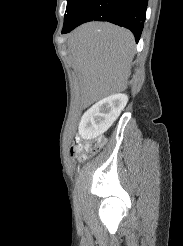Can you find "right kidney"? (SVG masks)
Masks as SVG:
<instances>
[{
	"label": "right kidney",
	"mask_w": 183,
	"mask_h": 246,
	"mask_svg": "<svg viewBox=\"0 0 183 246\" xmlns=\"http://www.w3.org/2000/svg\"><path fill=\"white\" fill-rule=\"evenodd\" d=\"M128 102L125 94L110 95L84 113L79 124V134L84 139H94L106 132L116 121Z\"/></svg>",
	"instance_id": "1"
}]
</instances>
